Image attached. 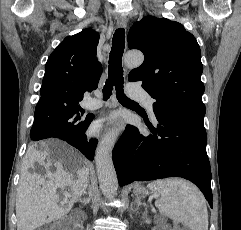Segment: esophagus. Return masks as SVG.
<instances>
[{
    "instance_id": "esophagus-1",
    "label": "esophagus",
    "mask_w": 241,
    "mask_h": 230,
    "mask_svg": "<svg viewBox=\"0 0 241 230\" xmlns=\"http://www.w3.org/2000/svg\"><path fill=\"white\" fill-rule=\"evenodd\" d=\"M117 26L119 28H126L127 27V19L125 16H119L117 18ZM114 127L119 129V130H123L124 129V123L122 122H116L114 124Z\"/></svg>"
}]
</instances>
